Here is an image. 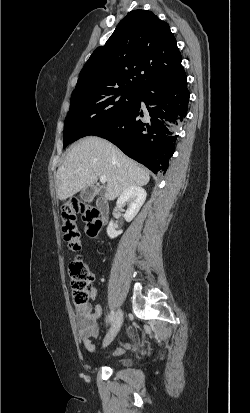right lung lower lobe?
<instances>
[{
	"mask_svg": "<svg viewBox=\"0 0 250 413\" xmlns=\"http://www.w3.org/2000/svg\"><path fill=\"white\" fill-rule=\"evenodd\" d=\"M186 79L183 72L145 84L126 110L89 135L109 140L155 174L165 173L188 111Z\"/></svg>",
	"mask_w": 250,
	"mask_h": 413,
	"instance_id": "right-lung-lower-lobe-1",
	"label": "right lung lower lobe"
}]
</instances>
